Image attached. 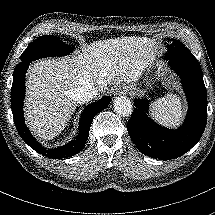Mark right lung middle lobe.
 Returning a JSON list of instances; mask_svg holds the SVG:
<instances>
[{
    "mask_svg": "<svg viewBox=\"0 0 215 215\" xmlns=\"http://www.w3.org/2000/svg\"><path fill=\"white\" fill-rule=\"evenodd\" d=\"M73 51V48L65 44L53 35H44L34 40L20 56L21 62H31L36 59L64 56Z\"/></svg>",
    "mask_w": 215,
    "mask_h": 215,
    "instance_id": "obj_1",
    "label": "right lung middle lobe"
}]
</instances>
